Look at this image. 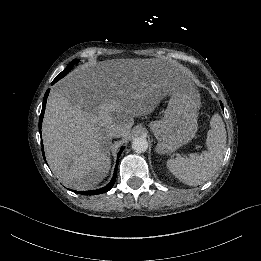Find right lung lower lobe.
<instances>
[{"mask_svg":"<svg viewBox=\"0 0 261 261\" xmlns=\"http://www.w3.org/2000/svg\"><path fill=\"white\" fill-rule=\"evenodd\" d=\"M53 84L54 83L52 82V85ZM49 91H50V89H48L46 91V93H45V96H44V99H43L42 111H41V115H40V118H39V132H40V134H41L42 120H43L44 111H45V105H46V101H47V97H48ZM41 145H42V143H41ZM122 150H123V148L118 152V156L122 153ZM42 153H43V156H44L43 147H42ZM118 163H119V158H117V161H116V166H115V169H114L113 177H112L111 181L106 186H104V187H102L100 189H96V190L74 191V192L82 194V195H98V194H102V193H105V192L109 191L113 187V185H114V183L116 181Z\"/></svg>","mask_w":261,"mask_h":261,"instance_id":"right-lung-lower-lobe-1","label":"right lung lower lobe"}]
</instances>
